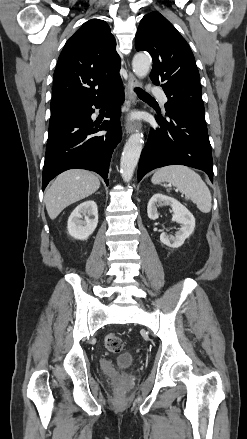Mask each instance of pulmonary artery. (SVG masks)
<instances>
[{"mask_svg":"<svg viewBox=\"0 0 247 439\" xmlns=\"http://www.w3.org/2000/svg\"><path fill=\"white\" fill-rule=\"evenodd\" d=\"M152 92L161 100L163 104L167 102V97L165 93L158 87H153Z\"/></svg>","mask_w":247,"mask_h":439,"instance_id":"e3ab8cb5","label":"pulmonary artery"}]
</instances>
